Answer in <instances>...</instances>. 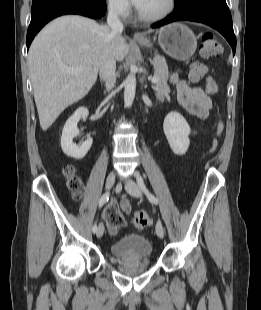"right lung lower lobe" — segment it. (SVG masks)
Returning a JSON list of instances; mask_svg holds the SVG:
<instances>
[{
    "instance_id": "98d812e1",
    "label": "right lung lower lobe",
    "mask_w": 261,
    "mask_h": 310,
    "mask_svg": "<svg viewBox=\"0 0 261 310\" xmlns=\"http://www.w3.org/2000/svg\"><path fill=\"white\" fill-rule=\"evenodd\" d=\"M105 11V0H33L32 17L27 31V48L40 29L55 17L79 14L90 18H100Z\"/></svg>"
}]
</instances>
